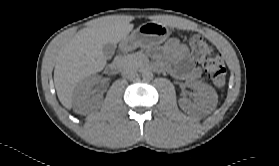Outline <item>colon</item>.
<instances>
[{"label": "colon", "instance_id": "colon-1", "mask_svg": "<svg viewBox=\"0 0 279 166\" xmlns=\"http://www.w3.org/2000/svg\"><path fill=\"white\" fill-rule=\"evenodd\" d=\"M190 45L195 57L202 62L203 68L210 80L217 86H222L226 79V68L219 56L207 57L210 53L202 37L194 35L190 38Z\"/></svg>", "mask_w": 279, "mask_h": 166}]
</instances>
